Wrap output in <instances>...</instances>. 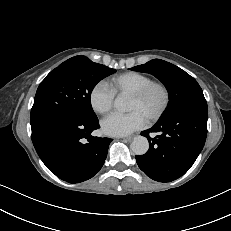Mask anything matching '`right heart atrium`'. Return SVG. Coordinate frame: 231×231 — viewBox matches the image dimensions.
I'll use <instances>...</instances> for the list:
<instances>
[{"instance_id": "obj_1", "label": "right heart atrium", "mask_w": 231, "mask_h": 231, "mask_svg": "<svg viewBox=\"0 0 231 231\" xmlns=\"http://www.w3.org/2000/svg\"><path fill=\"white\" fill-rule=\"evenodd\" d=\"M114 97V92L106 83L98 82L89 93L90 106L96 113L106 114L113 106Z\"/></svg>"}]
</instances>
